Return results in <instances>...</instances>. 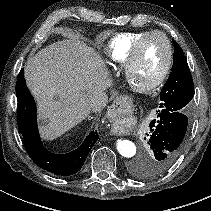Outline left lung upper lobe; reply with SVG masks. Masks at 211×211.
<instances>
[{
	"label": "left lung upper lobe",
	"mask_w": 211,
	"mask_h": 211,
	"mask_svg": "<svg viewBox=\"0 0 211 211\" xmlns=\"http://www.w3.org/2000/svg\"><path fill=\"white\" fill-rule=\"evenodd\" d=\"M173 45L175 51L172 71L160 93L161 103L159 106L160 110H158L159 113L165 111L187 113L193 98L194 86L187 60L181 47L174 40ZM145 160L149 165V168H147L148 174L152 175L151 165L153 160L148 152Z\"/></svg>",
	"instance_id": "1"
}]
</instances>
